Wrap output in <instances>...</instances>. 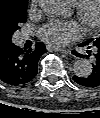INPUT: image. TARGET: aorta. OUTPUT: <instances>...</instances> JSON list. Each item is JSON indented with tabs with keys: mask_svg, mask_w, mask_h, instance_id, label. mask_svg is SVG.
I'll return each mask as SVG.
<instances>
[{
	"mask_svg": "<svg viewBox=\"0 0 100 118\" xmlns=\"http://www.w3.org/2000/svg\"><path fill=\"white\" fill-rule=\"evenodd\" d=\"M42 9L49 15L63 17L69 12L66 0H41ZM73 71L78 77H87L92 72V65L89 60L79 58L74 62Z\"/></svg>",
	"mask_w": 100,
	"mask_h": 118,
	"instance_id": "1",
	"label": "aorta"
}]
</instances>
